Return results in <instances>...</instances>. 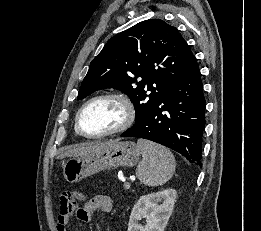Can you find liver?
Wrapping results in <instances>:
<instances>
[{"label":"liver","instance_id":"1","mask_svg":"<svg viewBox=\"0 0 261 231\" xmlns=\"http://www.w3.org/2000/svg\"><path fill=\"white\" fill-rule=\"evenodd\" d=\"M116 142V140H109L105 142H91L85 144H78L72 147L65 148L64 152L60 155L61 158L63 157H83L106 148Z\"/></svg>","mask_w":261,"mask_h":231}]
</instances>
